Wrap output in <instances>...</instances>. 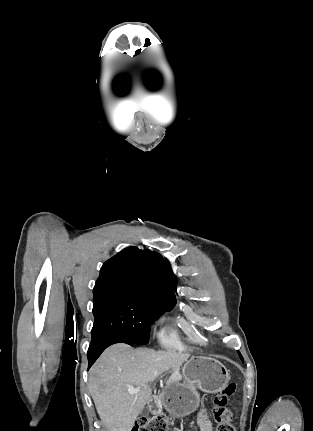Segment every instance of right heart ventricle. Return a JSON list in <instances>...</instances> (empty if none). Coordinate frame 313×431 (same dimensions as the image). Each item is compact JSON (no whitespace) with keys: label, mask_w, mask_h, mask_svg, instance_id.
<instances>
[{"label":"right heart ventricle","mask_w":313,"mask_h":431,"mask_svg":"<svg viewBox=\"0 0 313 431\" xmlns=\"http://www.w3.org/2000/svg\"><path fill=\"white\" fill-rule=\"evenodd\" d=\"M161 341L164 345L171 348H183L175 333H164L161 335Z\"/></svg>","instance_id":"right-heart-ventricle-1"}]
</instances>
